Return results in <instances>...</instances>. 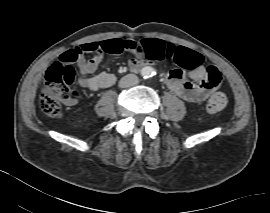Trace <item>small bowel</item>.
<instances>
[{
    "instance_id": "small-bowel-1",
    "label": "small bowel",
    "mask_w": 270,
    "mask_h": 213,
    "mask_svg": "<svg viewBox=\"0 0 270 213\" xmlns=\"http://www.w3.org/2000/svg\"><path fill=\"white\" fill-rule=\"evenodd\" d=\"M108 41L84 42L77 46L81 51L77 61L80 72L78 84L82 88L97 91L115 83V76L113 74L102 72L94 75L98 70L103 53L107 52L106 44ZM142 42L154 43L155 49L149 51L146 59H131L128 65L132 71H139L143 65L152 60L172 61L174 68L167 73V85L187 102H201L219 86L221 81L220 72L218 76H213L208 73L205 67L192 68L189 71V77L192 81L185 79V69L191 65L194 56L187 48L176 46L161 39H146L142 40ZM88 53H94V56L89 60L85 58V55Z\"/></svg>"
}]
</instances>
